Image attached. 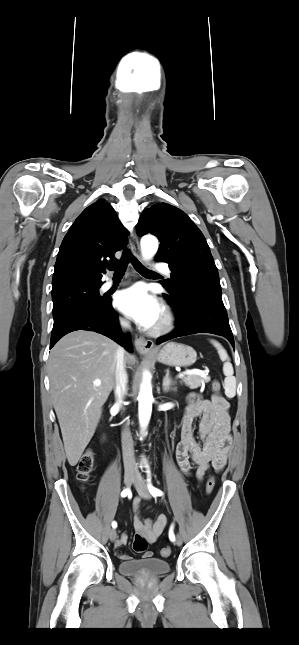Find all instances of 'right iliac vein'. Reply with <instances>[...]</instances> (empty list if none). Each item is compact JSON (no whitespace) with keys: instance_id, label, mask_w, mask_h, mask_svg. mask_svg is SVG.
Instances as JSON below:
<instances>
[{"instance_id":"right-iliac-vein-1","label":"right iliac vein","mask_w":299,"mask_h":645,"mask_svg":"<svg viewBox=\"0 0 299 645\" xmlns=\"http://www.w3.org/2000/svg\"><path fill=\"white\" fill-rule=\"evenodd\" d=\"M135 480V475L133 473H126L124 475V482L127 487H129ZM109 538L112 542H114L117 539V531L115 529H112L109 534Z\"/></svg>"}]
</instances>
